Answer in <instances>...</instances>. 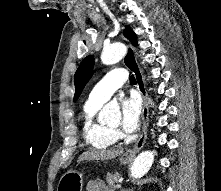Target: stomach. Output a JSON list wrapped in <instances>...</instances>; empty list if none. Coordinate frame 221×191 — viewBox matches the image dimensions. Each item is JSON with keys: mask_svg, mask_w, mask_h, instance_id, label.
I'll return each mask as SVG.
<instances>
[{"mask_svg": "<svg viewBox=\"0 0 221 191\" xmlns=\"http://www.w3.org/2000/svg\"><path fill=\"white\" fill-rule=\"evenodd\" d=\"M132 158L123 155L120 158L121 164H128ZM83 174L75 169L68 170L59 180L57 191H82Z\"/></svg>", "mask_w": 221, "mask_h": 191, "instance_id": "obj_1", "label": "stomach"}]
</instances>
